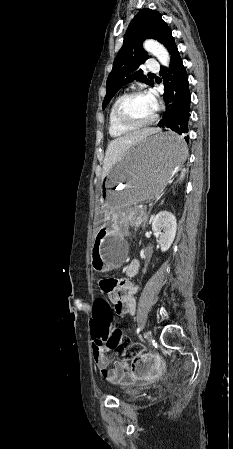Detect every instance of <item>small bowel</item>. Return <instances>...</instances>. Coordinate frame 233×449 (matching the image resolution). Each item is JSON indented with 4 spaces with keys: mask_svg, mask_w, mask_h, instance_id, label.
I'll return each instance as SVG.
<instances>
[{
    "mask_svg": "<svg viewBox=\"0 0 233 449\" xmlns=\"http://www.w3.org/2000/svg\"><path fill=\"white\" fill-rule=\"evenodd\" d=\"M138 270L139 262L133 259L125 268V278L118 279L114 274H104L99 280V285L104 296L115 305L119 314L133 316L136 313V294L138 293V287L129 279L135 277ZM108 351L109 349H93L92 347L95 366L103 378L110 383L125 380L129 377L126 373V360L118 359L115 361L114 366L109 368L110 361L106 355ZM161 359L160 354H147L143 363L145 368H138L136 372L137 376L155 377L156 373L160 370L159 364Z\"/></svg>",
    "mask_w": 233,
    "mask_h": 449,
    "instance_id": "small-bowel-1",
    "label": "small bowel"
}]
</instances>
